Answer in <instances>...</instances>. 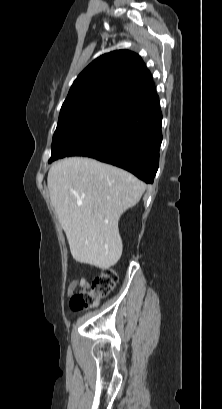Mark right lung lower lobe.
Listing matches in <instances>:
<instances>
[{"label": "right lung lower lobe", "instance_id": "98d812e1", "mask_svg": "<svg viewBox=\"0 0 222 409\" xmlns=\"http://www.w3.org/2000/svg\"><path fill=\"white\" fill-rule=\"evenodd\" d=\"M161 121L158 96L126 106L114 117L101 144L85 156L123 168L152 183L159 166Z\"/></svg>", "mask_w": 222, "mask_h": 409}]
</instances>
